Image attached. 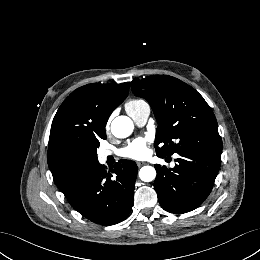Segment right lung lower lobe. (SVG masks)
Instances as JSON below:
<instances>
[{
	"instance_id": "right-lung-lower-lobe-1",
	"label": "right lung lower lobe",
	"mask_w": 260,
	"mask_h": 260,
	"mask_svg": "<svg viewBox=\"0 0 260 260\" xmlns=\"http://www.w3.org/2000/svg\"><path fill=\"white\" fill-rule=\"evenodd\" d=\"M112 178L102 165L93 167L66 194L69 203L87 219L102 225L121 222L134 203L137 165L131 160H119Z\"/></svg>"
}]
</instances>
